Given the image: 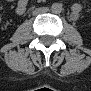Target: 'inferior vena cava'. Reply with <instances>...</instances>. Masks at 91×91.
<instances>
[{"label": "inferior vena cava", "mask_w": 91, "mask_h": 91, "mask_svg": "<svg viewBox=\"0 0 91 91\" xmlns=\"http://www.w3.org/2000/svg\"><path fill=\"white\" fill-rule=\"evenodd\" d=\"M49 9L48 8H40V9H34L33 14L38 15V14H43V13H48Z\"/></svg>", "instance_id": "1"}]
</instances>
